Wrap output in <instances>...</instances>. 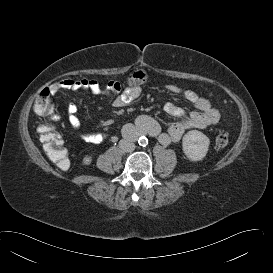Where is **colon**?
<instances>
[{"mask_svg":"<svg viewBox=\"0 0 273 273\" xmlns=\"http://www.w3.org/2000/svg\"><path fill=\"white\" fill-rule=\"evenodd\" d=\"M147 75L142 70H137L132 72L127 77V83L129 85H139L146 81ZM59 84L56 83L52 86L46 87L39 94L36 103L35 110L39 115L42 116H55V111L53 105L50 102L49 96L54 89L58 88ZM40 135V141L42 143L43 149L46 152L47 156L55 161L58 166L65 170L69 167V161L67 158V152L63 147V140L58 134L54 127L50 124L40 126L38 129ZM229 143V137L225 133L217 134L215 138V144L219 148L226 147Z\"/></svg>","mask_w":273,"mask_h":273,"instance_id":"1","label":"colon"}]
</instances>
